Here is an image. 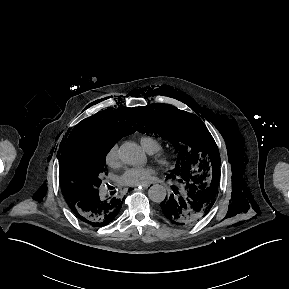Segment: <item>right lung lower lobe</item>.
I'll use <instances>...</instances> for the list:
<instances>
[{"label":"right lung lower lobe","instance_id":"98d812e1","mask_svg":"<svg viewBox=\"0 0 289 289\" xmlns=\"http://www.w3.org/2000/svg\"><path fill=\"white\" fill-rule=\"evenodd\" d=\"M123 199L117 197L104 199L99 196L97 190L85 196H78L67 203L81 221L99 227L107 225L116 217L122 207Z\"/></svg>","mask_w":289,"mask_h":289}]
</instances>
